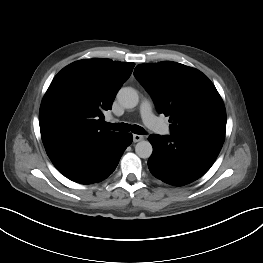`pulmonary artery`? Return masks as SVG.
<instances>
[{
	"mask_svg": "<svg viewBox=\"0 0 263 263\" xmlns=\"http://www.w3.org/2000/svg\"><path fill=\"white\" fill-rule=\"evenodd\" d=\"M140 113L143 122L150 128L161 134H168L169 128L163 124L153 113L149 101H143L140 106Z\"/></svg>",
	"mask_w": 263,
	"mask_h": 263,
	"instance_id": "obj_1",
	"label": "pulmonary artery"
}]
</instances>
